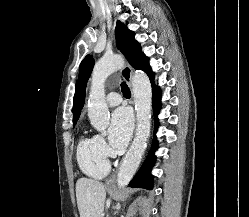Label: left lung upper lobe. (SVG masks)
Segmentation results:
<instances>
[{"mask_svg": "<svg viewBox=\"0 0 249 217\" xmlns=\"http://www.w3.org/2000/svg\"><path fill=\"white\" fill-rule=\"evenodd\" d=\"M115 37L118 49L127 58L132 67L144 72H148L151 69L149 58L141 52L140 44L134 39V33L120 21L116 24ZM94 63L95 61L92 55L88 54L82 60L79 67V84L83 95V101L85 98L87 81L91 75Z\"/></svg>", "mask_w": 249, "mask_h": 217, "instance_id": "obj_1", "label": "left lung upper lobe"}]
</instances>
